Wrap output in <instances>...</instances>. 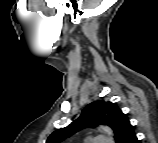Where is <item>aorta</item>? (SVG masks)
Listing matches in <instances>:
<instances>
[{"instance_id":"762f6f07","label":"aorta","mask_w":158,"mask_h":143,"mask_svg":"<svg viewBox=\"0 0 158 143\" xmlns=\"http://www.w3.org/2000/svg\"><path fill=\"white\" fill-rule=\"evenodd\" d=\"M101 128L108 136H110V137L113 136V132H112V130L109 127H103L102 126Z\"/></svg>"}]
</instances>
